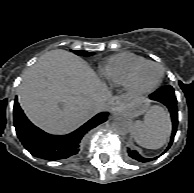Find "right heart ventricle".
I'll list each match as a JSON object with an SVG mask.
<instances>
[{
  "instance_id": "obj_1",
  "label": "right heart ventricle",
  "mask_w": 194,
  "mask_h": 193,
  "mask_svg": "<svg viewBox=\"0 0 194 193\" xmlns=\"http://www.w3.org/2000/svg\"><path fill=\"white\" fill-rule=\"evenodd\" d=\"M145 58L132 53H118L108 57L100 66V75L115 86H128L132 73Z\"/></svg>"
}]
</instances>
